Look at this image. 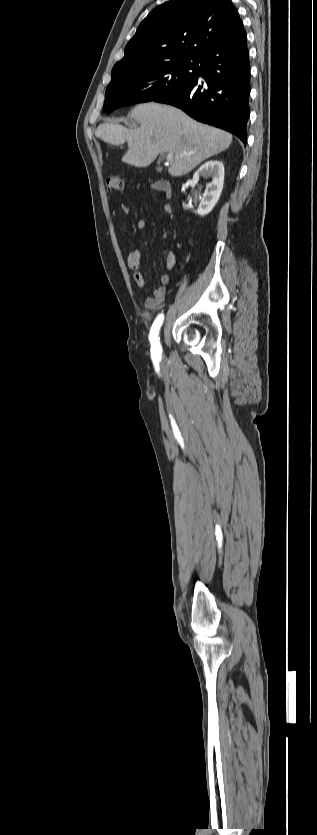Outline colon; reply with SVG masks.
I'll list each match as a JSON object with an SVG mask.
<instances>
[{
	"label": "colon",
	"mask_w": 317,
	"mask_h": 835,
	"mask_svg": "<svg viewBox=\"0 0 317 835\" xmlns=\"http://www.w3.org/2000/svg\"><path fill=\"white\" fill-rule=\"evenodd\" d=\"M107 188L109 191H120L124 188V181L118 175H111L107 178Z\"/></svg>",
	"instance_id": "obj_1"
}]
</instances>
